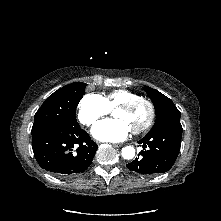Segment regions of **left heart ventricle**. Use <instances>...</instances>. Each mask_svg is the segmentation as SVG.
Instances as JSON below:
<instances>
[{"label": "left heart ventricle", "mask_w": 221, "mask_h": 221, "mask_svg": "<svg viewBox=\"0 0 221 221\" xmlns=\"http://www.w3.org/2000/svg\"><path fill=\"white\" fill-rule=\"evenodd\" d=\"M113 116L116 119L123 120L130 129L141 126L148 118V108L144 104L138 105L131 111H124L116 109L113 112Z\"/></svg>", "instance_id": "left-heart-ventricle-1"}]
</instances>
